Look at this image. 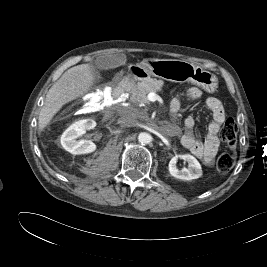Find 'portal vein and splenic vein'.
Here are the masks:
<instances>
[{"label": "portal vein and splenic vein", "mask_w": 267, "mask_h": 267, "mask_svg": "<svg viewBox=\"0 0 267 267\" xmlns=\"http://www.w3.org/2000/svg\"><path fill=\"white\" fill-rule=\"evenodd\" d=\"M147 99L148 101L150 102H155V101H162V98L157 95L156 93L154 92H150L148 95H147Z\"/></svg>", "instance_id": "18ae733b"}]
</instances>
